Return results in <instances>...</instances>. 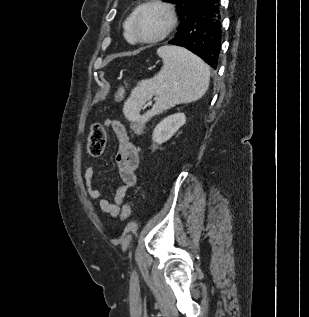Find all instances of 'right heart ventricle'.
<instances>
[{
  "mask_svg": "<svg viewBox=\"0 0 309 317\" xmlns=\"http://www.w3.org/2000/svg\"><path fill=\"white\" fill-rule=\"evenodd\" d=\"M135 11L132 12L125 20L124 22V35H125V38L129 41V42H134L135 41V38L133 36V33H132V18H133V15H134Z\"/></svg>",
  "mask_w": 309,
  "mask_h": 317,
  "instance_id": "e07e8e85",
  "label": "right heart ventricle"
}]
</instances>
